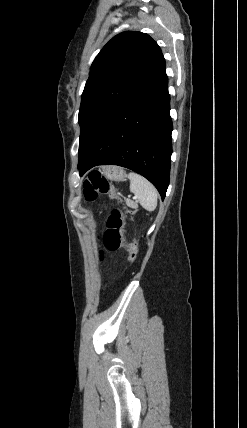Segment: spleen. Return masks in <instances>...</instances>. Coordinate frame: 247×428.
Listing matches in <instances>:
<instances>
[{"label": "spleen", "mask_w": 247, "mask_h": 428, "mask_svg": "<svg viewBox=\"0 0 247 428\" xmlns=\"http://www.w3.org/2000/svg\"><path fill=\"white\" fill-rule=\"evenodd\" d=\"M130 191L135 194L140 205L147 211H154L157 207L158 192L156 188L144 177L130 173Z\"/></svg>", "instance_id": "3e777b00"}]
</instances>
